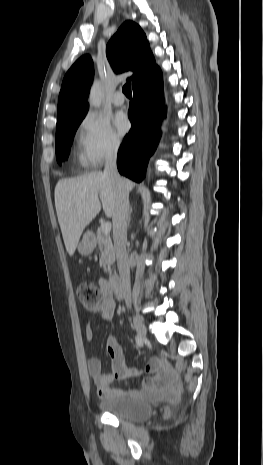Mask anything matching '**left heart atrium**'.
I'll return each instance as SVG.
<instances>
[{
    "label": "left heart atrium",
    "instance_id": "obj_1",
    "mask_svg": "<svg viewBox=\"0 0 263 465\" xmlns=\"http://www.w3.org/2000/svg\"><path fill=\"white\" fill-rule=\"evenodd\" d=\"M114 124L120 134H125L130 127L129 120L123 113H118L115 116Z\"/></svg>",
    "mask_w": 263,
    "mask_h": 465
}]
</instances>
